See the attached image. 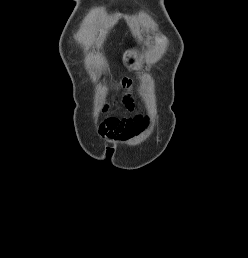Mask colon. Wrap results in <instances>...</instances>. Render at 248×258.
I'll return each mask as SVG.
<instances>
[{
    "label": "colon",
    "mask_w": 248,
    "mask_h": 258,
    "mask_svg": "<svg viewBox=\"0 0 248 258\" xmlns=\"http://www.w3.org/2000/svg\"><path fill=\"white\" fill-rule=\"evenodd\" d=\"M119 121L117 120V119H115V118H112L110 121H109V123L111 124V125H115V124H117Z\"/></svg>",
    "instance_id": "1"
}]
</instances>
